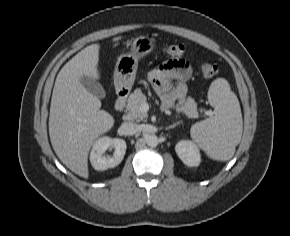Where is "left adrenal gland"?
Segmentation results:
<instances>
[{"label":"left adrenal gland","mask_w":290,"mask_h":236,"mask_svg":"<svg viewBox=\"0 0 290 236\" xmlns=\"http://www.w3.org/2000/svg\"><path fill=\"white\" fill-rule=\"evenodd\" d=\"M181 123H182L181 121H178L177 123H174L173 125H170V126L166 127L165 129L169 130L171 128H175L176 126L180 125Z\"/></svg>","instance_id":"obj_1"}]
</instances>
